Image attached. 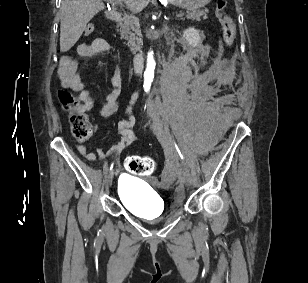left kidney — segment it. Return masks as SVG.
I'll return each mask as SVG.
<instances>
[{
    "label": "left kidney",
    "instance_id": "1",
    "mask_svg": "<svg viewBox=\"0 0 308 283\" xmlns=\"http://www.w3.org/2000/svg\"><path fill=\"white\" fill-rule=\"evenodd\" d=\"M183 38L186 43L193 47L198 46L202 42L199 31L191 27L183 32Z\"/></svg>",
    "mask_w": 308,
    "mask_h": 283
}]
</instances>
